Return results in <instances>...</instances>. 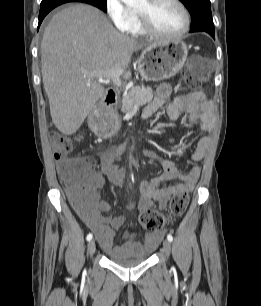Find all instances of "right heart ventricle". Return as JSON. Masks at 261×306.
I'll list each match as a JSON object with an SVG mask.
<instances>
[{"mask_svg":"<svg viewBox=\"0 0 261 306\" xmlns=\"http://www.w3.org/2000/svg\"><path fill=\"white\" fill-rule=\"evenodd\" d=\"M128 33L134 35V36H143L146 34L144 29L142 28L136 13L133 12V20L132 23L127 31Z\"/></svg>","mask_w":261,"mask_h":306,"instance_id":"1","label":"right heart ventricle"}]
</instances>
